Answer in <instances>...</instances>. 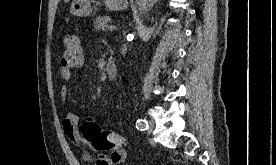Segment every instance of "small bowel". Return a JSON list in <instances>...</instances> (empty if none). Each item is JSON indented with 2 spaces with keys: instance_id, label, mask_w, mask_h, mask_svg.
<instances>
[{
  "instance_id": "obj_1",
  "label": "small bowel",
  "mask_w": 276,
  "mask_h": 165,
  "mask_svg": "<svg viewBox=\"0 0 276 165\" xmlns=\"http://www.w3.org/2000/svg\"><path fill=\"white\" fill-rule=\"evenodd\" d=\"M61 77L65 80H68L72 76L71 70L60 68ZM68 91L65 86L60 88V97L64 101L67 97ZM78 117L68 111H64L62 116V128L64 131L65 136L75 144L82 153L83 159L90 163L92 161V155L90 150L85 146L84 141L82 140L79 129H78ZM125 157L120 159H115L114 154L110 155H100L96 160V165H116L121 163Z\"/></svg>"
}]
</instances>
